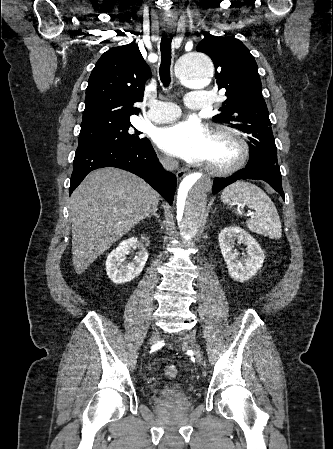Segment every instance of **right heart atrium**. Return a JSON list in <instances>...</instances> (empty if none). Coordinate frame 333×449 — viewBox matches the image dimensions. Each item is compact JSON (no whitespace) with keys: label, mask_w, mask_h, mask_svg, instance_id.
<instances>
[{"label":"right heart atrium","mask_w":333,"mask_h":449,"mask_svg":"<svg viewBox=\"0 0 333 449\" xmlns=\"http://www.w3.org/2000/svg\"><path fill=\"white\" fill-rule=\"evenodd\" d=\"M160 161L166 168H173L175 165L174 161L166 156L161 157Z\"/></svg>","instance_id":"1"}]
</instances>
